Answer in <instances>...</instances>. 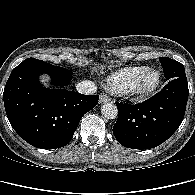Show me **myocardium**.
Segmentation results:
<instances>
[{
    "label": "myocardium",
    "mask_w": 195,
    "mask_h": 195,
    "mask_svg": "<svg viewBox=\"0 0 195 195\" xmlns=\"http://www.w3.org/2000/svg\"><path fill=\"white\" fill-rule=\"evenodd\" d=\"M146 74H153L155 76V82L147 88H140L138 86V83L140 79ZM160 84H161L160 73L155 69L145 68L133 79L129 86L128 91L124 94H127L134 99H145L148 96L152 95L159 88Z\"/></svg>",
    "instance_id": "myocardium-1"
}]
</instances>
